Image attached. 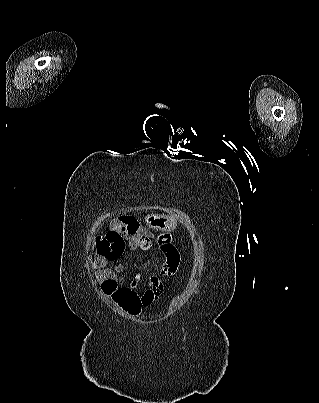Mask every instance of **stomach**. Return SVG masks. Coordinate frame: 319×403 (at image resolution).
<instances>
[{"mask_svg": "<svg viewBox=\"0 0 319 403\" xmlns=\"http://www.w3.org/2000/svg\"><path fill=\"white\" fill-rule=\"evenodd\" d=\"M147 224L159 231L170 232L176 228V220L173 215H155L151 214L146 217Z\"/></svg>", "mask_w": 319, "mask_h": 403, "instance_id": "1", "label": "stomach"}]
</instances>
